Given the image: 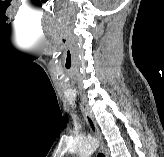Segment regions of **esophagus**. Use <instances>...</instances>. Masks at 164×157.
Instances as JSON below:
<instances>
[{"label":"esophagus","mask_w":164,"mask_h":157,"mask_svg":"<svg viewBox=\"0 0 164 157\" xmlns=\"http://www.w3.org/2000/svg\"><path fill=\"white\" fill-rule=\"evenodd\" d=\"M80 108L82 110V113L84 115V118L91 130V132L93 133L94 136H96L98 138V140L100 141V149L102 151V153L104 154L105 157H108V150L104 144L102 135L92 117V115L89 113L88 109L84 106V104H80Z\"/></svg>","instance_id":"obj_1"}]
</instances>
